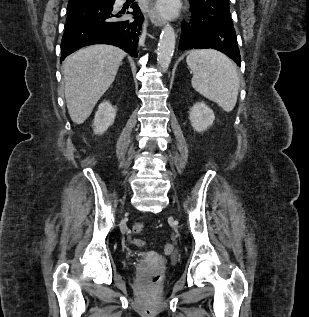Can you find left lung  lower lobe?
Here are the masks:
<instances>
[{"instance_id":"1","label":"left lung lower lobe","mask_w":309,"mask_h":317,"mask_svg":"<svg viewBox=\"0 0 309 317\" xmlns=\"http://www.w3.org/2000/svg\"><path fill=\"white\" fill-rule=\"evenodd\" d=\"M191 13L190 22L188 24L182 23L178 49H216L229 56L240 66L241 57L233 23L193 9H191Z\"/></svg>"}]
</instances>
